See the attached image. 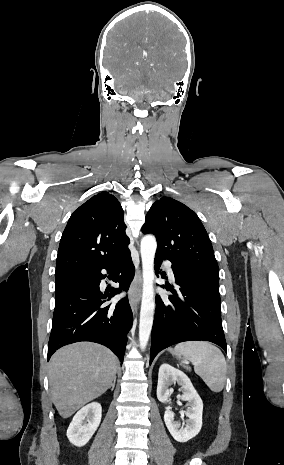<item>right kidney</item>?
<instances>
[{
  "label": "right kidney",
  "instance_id": "obj_1",
  "mask_svg": "<svg viewBox=\"0 0 284 465\" xmlns=\"http://www.w3.org/2000/svg\"><path fill=\"white\" fill-rule=\"evenodd\" d=\"M101 413L100 403H90L76 413L67 429V437L72 445L83 447L90 441L100 425Z\"/></svg>",
  "mask_w": 284,
  "mask_h": 465
}]
</instances>
